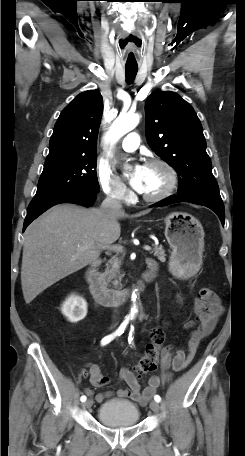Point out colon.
Here are the masks:
<instances>
[{
  "label": "colon",
  "instance_id": "obj_1",
  "mask_svg": "<svg viewBox=\"0 0 245 456\" xmlns=\"http://www.w3.org/2000/svg\"><path fill=\"white\" fill-rule=\"evenodd\" d=\"M164 342V328L161 326L156 327L151 333V340L146 345L144 355L133 367L132 372L141 377L154 371L161 359Z\"/></svg>",
  "mask_w": 245,
  "mask_h": 456
}]
</instances>
